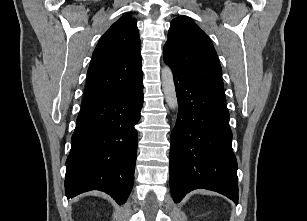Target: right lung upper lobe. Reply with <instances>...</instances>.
<instances>
[{"mask_svg":"<svg viewBox=\"0 0 307 221\" xmlns=\"http://www.w3.org/2000/svg\"><path fill=\"white\" fill-rule=\"evenodd\" d=\"M136 19L125 14L101 37L92 56L82 105L110 97L143 78Z\"/></svg>","mask_w":307,"mask_h":221,"instance_id":"obj_1","label":"right lung upper lobe"}]
</instances>
